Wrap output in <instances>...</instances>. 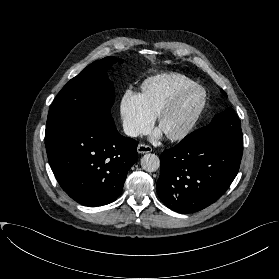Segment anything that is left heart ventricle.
<instances>
[{"mask_svg": "<svg viewBox=\"0 0 279 279\" xmlns=\"http://www.w3.org/2000/svg\"><path fill=\"white\" fill-rule=\"evenodd\" d=\"M202 100L200 91L190 94L180 106L168 116L161 126L163 133H173L181 130L192 118Z\"/></svg>", "mask_w": 279, "mask_h": 279, "instance_id": "obj_1", "label": "left heart ventricle"}]
</instances>
